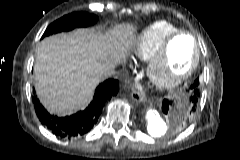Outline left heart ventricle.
<instances>
[{
  "mask_svg": "<svg viewBox=\"0 0 240 160\" xmlns=\"http://www.w3.org/2000/svg\"><path fill=\"white\" fill-rule=\"evenodd\" d=\"M194 55V47L189 37H179L175 39L168 50L163 63L154 71L157 77L179 73L185 70Z\"/></svg>",
  "mask_w": 240,
  "mask_h": 160,
  "instance_id": "1",
  "label": "left heart ventricle"
}]
</instances>
